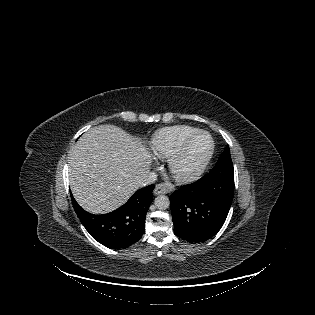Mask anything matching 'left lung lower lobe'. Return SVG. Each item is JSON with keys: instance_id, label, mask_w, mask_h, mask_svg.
Returning a JSON list of instances; mask_svg holds the SVG:
<instances>
[{"instance_id": "left-lung-lower-lobe-1", "label": "left lung lower lobe", "mask_w": 315, "mask_h": 315, "mask_svg": "<svg viewBox=\"0 0 315 315\" xmlns=\"http://www.w3.org/2000/svg\"><path fill=\"white\" fill-rule=\"evenodd\" d=\"M234 195V173L214 175L182 186L170 196L174 232L189 242H204L223 226Z\"/></svg>"}]
</instances>
